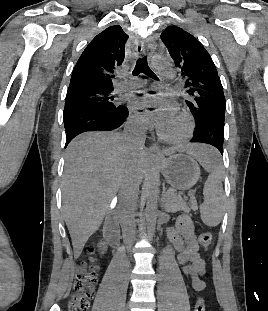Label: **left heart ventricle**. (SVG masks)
Segmentation results:
<instances>
[{
	"label": "left heart ventricle",
	"instance_id": "left-heart-ventricle-1",
	"mask_svg": "<svg viewBox=\"0 0 268 311\" xmlns=\"http://www.w3.org/2000/svg\"><path fill=\"white\" fill-rule=\"evenodd\" d=\"M163 131L170 136H178L184 129V122L178 114L174 115L168 122L161 125Z\"/></svg>",
	"mask_w": 268,
	"mask_h": 311
}]
</instances>
